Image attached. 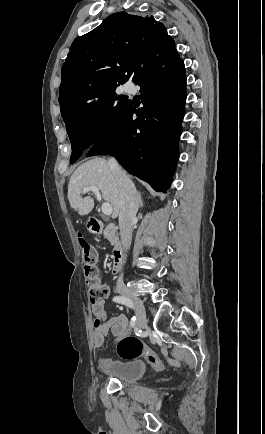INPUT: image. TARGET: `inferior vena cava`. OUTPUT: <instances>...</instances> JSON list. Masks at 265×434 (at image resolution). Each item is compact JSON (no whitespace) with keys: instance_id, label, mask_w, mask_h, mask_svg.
I'll use <instances>...</instances> for the list:
<instances>
[{"instance_id":"602c4592","label":"inferior vena cava","mask_w":265,"mask_h":434,"mask_svg":"<svg viewBox=\"0 0 265 434\" xmlns=\"http://www.w3.org/2000/svg\"><path fill=\"white\" fill-rule=\"evenodd\" d=\"M109 168L115 174V180L119 186L121 206L119 212V228L123 250H129L132 238L133 226L137 220L136 214L139 208V200L136 188L130 178L118 166L116 160L111 158L108 162ZM125 260V258H123ZM123 274H120L119 280H122Z\"/></svg>"}]
</instances>
